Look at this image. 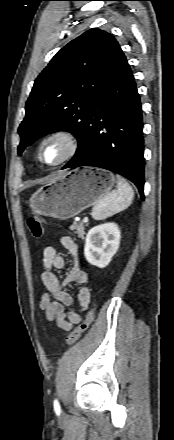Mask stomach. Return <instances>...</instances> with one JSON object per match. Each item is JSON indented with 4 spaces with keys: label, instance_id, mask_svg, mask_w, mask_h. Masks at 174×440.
<instances>
[{
    "label": "stomach",
    "instance_id": "0dacf381",
    "mask_svg": "<svg viewBox=\"0 0 174 440\" xmlns=\"http://www.w3.org/2000/svg\"><path fill=\"white\" fill-rule=\"evenodd\" d=\"M115 182L114 175L107 170L77 168L38 189L29 205L40 215L66 220L96 204L111 191Z\"/></svg>",
    "mask_w": 174,
    "mask_h": 440
}]
</instances>
